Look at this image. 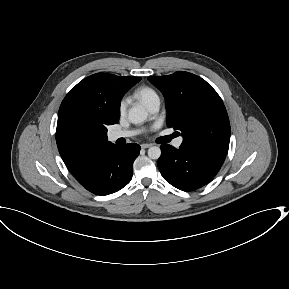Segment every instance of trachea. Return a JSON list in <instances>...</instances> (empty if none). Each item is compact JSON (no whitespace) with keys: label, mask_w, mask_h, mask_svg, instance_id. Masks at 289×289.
I'll return each mask as SVG.
<instances>
[{"label":"trachea","mask_w":289,"mask_h":289,"mask_svg":"<svg viewBox=\"0 0 289 289\" xmlns=\"http://www.w3.org/2000/svg\"><path fill=\"white\" fill-rule=\"evenodd\" d=\"M173 137V135L164 137V143H168Z\"/></svg>","instance_id":"obj_1"}]
</instances>
